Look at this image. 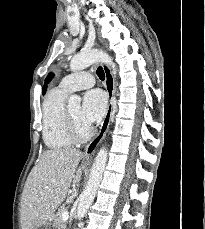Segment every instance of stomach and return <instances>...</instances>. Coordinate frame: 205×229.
Masks as SVG:
<instances>
[{"mask_svg":"<svg viewBox=\"0 0 205 229\" xmlns=\"http://www.w3.org/2000/svg\"><path fill=\"white\" fill-rule=\"evenodd\" d=\"M39 229H57V226L52 220H48L45 224L40 226Z\"/></svg>","mask_w":205,"mask_h":229,"instance_id":"1","label":"stomach"}]
</instances>
